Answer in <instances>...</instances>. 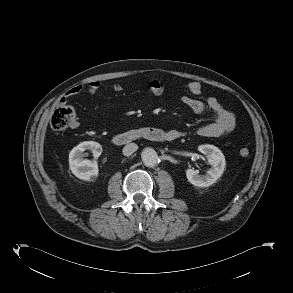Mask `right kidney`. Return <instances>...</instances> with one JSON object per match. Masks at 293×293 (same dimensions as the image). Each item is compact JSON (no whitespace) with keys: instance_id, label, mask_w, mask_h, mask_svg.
I'll return each instance as SVG.
<instances>
[{"instance_id":"obj_1","label":"right kidney","mask_w":293,"mask_h":293,"mask_svg":"<svg viewBox=\"0 0 293 293\" xmlns=\"http://www.w3.org/2000/svg\"><path fill=\"white\" fill-rule=\"evenodd\" d=\"M91 150L95 159L102 153V146L95 141H84L74 147L69 153V168L79 179L93 181L99 174L96 161L83 159V152Z\"/></svg>"}]
</instances>
